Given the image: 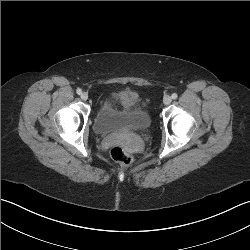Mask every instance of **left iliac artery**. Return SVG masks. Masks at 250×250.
<instances>
[{
  "instance_id": "left-iliac-artery-1",
  "label": "left iliac artery",
  "mask_w": 250,
  "mask_h": 250,
  "mask_svg": "<svg viewBox=\"0 0 250 250\" xmlns=\"http://www.w3.org/2000/svg\"><path fill=\"white\" fill-rule=\"evenodd\" d=\"M171 97H172V99H176L178 96L176 93H173Z\"/></svg>"
}]
</instances>
